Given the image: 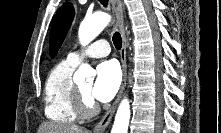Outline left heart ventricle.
I'll list each match as a JSON object with an SVG mask.
<instances>
[{
  "mask_svg": "<svg viewBox=\"0 0 221 133\" xmlns=\"http://www.w3.org/2000/svg\"><path fill=\"white\" fill-rule=\"evenodd\" d=\"M79 87L86 96L90 97L91 84H81Z\"/></svg>",
  "mask_w": 221,
  "mask_h": 133,
  "instance_id": "b2bd125f",
  "label": "left heart ventricle"
}]
</instances>
